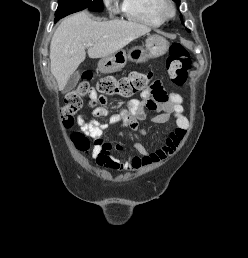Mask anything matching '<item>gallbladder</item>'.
I'll return each instance as SVG.
<instances>
[{"label":"gallbladder","mask_w":248,"mask_h":258,"mask_svg":"<svg viewBox=\"0 0 248 258\" xmlns=\"http://www.w3.org/2000/svg\"><path fill=\"white\" fill-rule=\"evenodd\" d=\"M78 81H79V73L75 72L70 76V78L65 86L64 92H68V91L72 90L73 88H75Z\"/></svg>","instance_id":"bac80fb5"}]
</instances>
